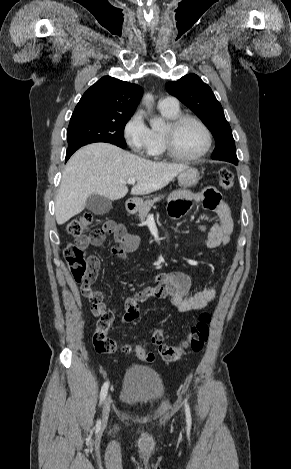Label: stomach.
I'll list each match as a JSON object with an SVG mask.
<instances>
[{"label": "stomach", "mask_w": 291, "mask_h": 469, "mask_svg": "<svg viewBox=\"0 0 291 469\" xmlns=\"http://www.w3.org/2000/svg\"><path fill=\"white\" fill-rule=\"evenodd\" d=\"M178 183L184 188L192 187L200 180V173L196 168L188 167L178 174ZM136 209H138L142 202L140 198L133 199Z\"/></svg>", "instance_id": "0dacf381"}]
</instances>
